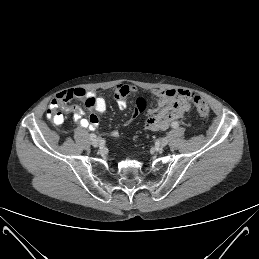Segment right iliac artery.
<instances>
[{
	"label": "right iliac artery",
	"instance_id": "82829eb1",
	"mask_svg": "<svg viewBox=\"0 0 259 259\" xmlns=\"http://www.w3.org/2000/svg\"><path fill=\"white\" fill-rule=\"evenodd\" d=\"M90 138H91V140H93V139L96 138V135H95L94 133H91V134H90Z\"/></svg>",
	"mask_w": 259,
	"mask_h": 259
}]
</instances>
